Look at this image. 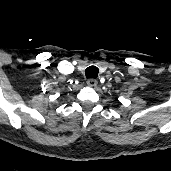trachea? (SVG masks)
Listing matches in <instances>:
<instances>
[{"instance_id": "1", "label": "trachea", "mask_w": 171, "mask_h": 171, "mask_svg": "<svg viewBox=\"0 0 171 171\" xmlns=\"http://www.w3.org/2000/svg\"><path fill=\"white\" fill-rule=\"evenodd\" d=\"M99 73V69L96 66H89L86 70H85V75L86 78H97Z\"/></svg>"}]
</instances>
